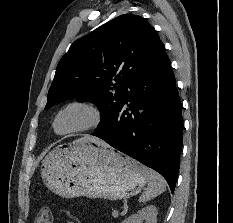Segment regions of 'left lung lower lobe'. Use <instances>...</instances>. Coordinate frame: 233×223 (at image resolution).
<instances>
[{
  "label": "left lung lower lobe",
  "instance_id": "left-lung-lower-lobe-1",
  "mask_svg": "<svg viewBox=\"0 0 233 223\" xmlns=\"http://www.w3.org/2000/svg\"><path fill=\"white\" fill-rule=\"evenodd\" d=\"M181 110L175 76L160 41L115 118L92 135L160 173L173 193L183 137Z\"/></svg>",
  "mask_w": 233,
  "mask_h": 223
}]
</instances>
